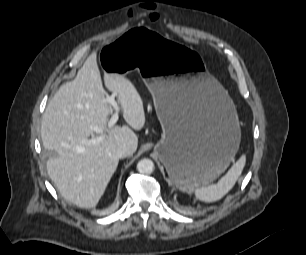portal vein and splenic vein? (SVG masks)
I'll return each instance as SVG.
<instances>
[{"mask_svg":"<svg viewBox=\"0 0 306 255\" xmlns=\"http://www.w3.org/2000/svg\"><path fill=\"white\" fill-rule=\"evenodd\" d=\"M107 102L110 103L114 110L115 113L112 115L111 119L108 122V127H113L114 124L117 122L118 118H119V111H120V107L117 103V101L115 100V95L109 96L107 97ZM93 130L97 133H100L101 130L97 127H94ZM103 140V136H98L92 139L87 140V143L89 144H98Z\"/></svg>","mask_w":306,"mask_h":255,"instance_id":"18ae733b","label":"portal vein and splenic vein"}]
</instances>
